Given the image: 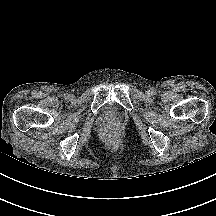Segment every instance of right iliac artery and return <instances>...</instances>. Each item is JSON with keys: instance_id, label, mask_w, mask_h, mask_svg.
Here are the masks:
<instances>
[{"instance_id": "1", "label": "right iliac artery", "mask_w": 216, "mask_h": 216, "mask_svg": "<svg viewBox=\"0 0 216 216\" xmlns=\"http://www.w3.org/2000/svg\"><path fill=\"white\" fill-rule=\"evenodd\" d=\"M64 98L67 99V98H68V95H67V94H64Z\"/></svg>"}]
</instances>
